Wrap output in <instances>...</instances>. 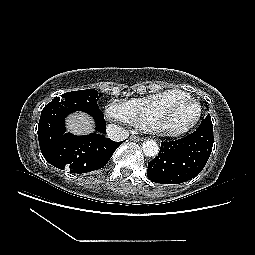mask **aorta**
<instances>
[{"label":"aorta","mask_w":255,"mask_h":255,"mask_svg":"<svg viewBox=\"0 0 255 255\" xmlns=\"http://www.w3.org/2000/svg\"><path fill=\"white\" fill-rule=\"evenodd\" d=\"M142 150L147 157H154L159 152V146L154 140H146L142 144Z\"/></svg>","instance_id":"obj_1"}]
</instances>
